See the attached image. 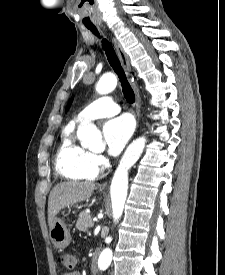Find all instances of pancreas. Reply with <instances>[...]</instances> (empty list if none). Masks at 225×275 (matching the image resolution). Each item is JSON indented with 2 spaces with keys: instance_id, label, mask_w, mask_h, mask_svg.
Returning a JSON list of instances; mask_svg holds the SVG:
<instances>
[{
  "instance_id": "1",
  "label": "pancreas",
  "mask_w": 225,
  "mask_h": 275,
  "mask_svg": "<svg viewBox=\"0 0 225 275\" xmlns=\"http://www.w3.org/2000/svg\"><path fill=\"white\" fill-rule=\"evenodd\" d=\"M91 221H92L91 215L83 211L79 214V217L76 223V228L79 231L86 232L89 227H92Z\"/></svg>"
}]
</instances>
